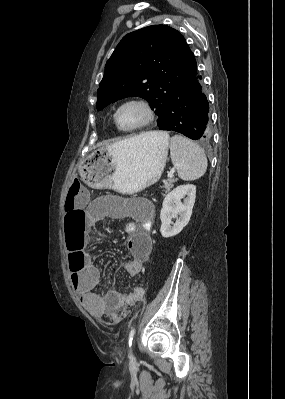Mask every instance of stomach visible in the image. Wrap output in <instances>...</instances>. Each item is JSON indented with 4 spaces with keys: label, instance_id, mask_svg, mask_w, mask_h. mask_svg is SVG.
<instances>
[{
    "label": "stomach",
    "instance_id": "obj_1",
    "mask_svg": "<svg viewBox=\"0 0 285 399\" xmlns=\"http://www.w3.org/2000/svg\"><path fill=\"white\" fill-rule=\"evenodd\" d=\"M157 132L155 139L138 135L95 150L79 167L83 181L95 189L110 188L123 194H134L156 183L169 147L168 134Z\"/></svg>",
    "mask_w": 285,
    "mask_h": 399
}]
</instances>
